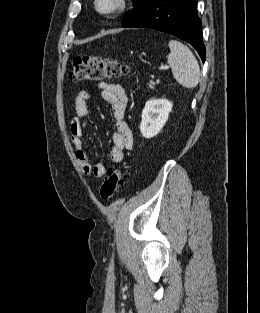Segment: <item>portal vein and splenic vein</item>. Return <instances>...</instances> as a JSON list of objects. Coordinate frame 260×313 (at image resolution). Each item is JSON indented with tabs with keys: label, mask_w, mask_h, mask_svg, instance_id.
Segmentation results:
<instances>
[{
	"label": "portal vein and splenic vein",
	"mask_w": 260,
	"mask_h": 313,
	"mask_svg": "<svg viewBox=\"0 0 260 313\" xmlns=\"http://www.w3.org/2000/svg\"><path fill=\"white\" fill-rule=\"evenodd\" d=\"M160 69L161 70L168 69V66H166V65L165 66H161Z\"/></svg>",
	"instance_id": "18ae733b"
}]
</instances>
